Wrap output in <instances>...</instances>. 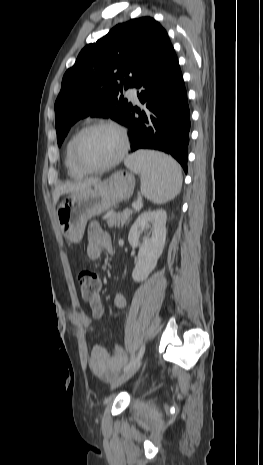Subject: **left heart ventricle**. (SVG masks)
I'll return each instance as SVG.
<instances>
[{
  "label": "left heart ventricle",
  "instance_id": "b2bd125f",
  "mask_svg": "<svg viewBox=\"0 0 263 465\" xmlns=\"http://www.w3.org/2000/svg\"><path fill=\"white\" fill-rule=\"evenodd\" d=\"M120 147V138L114 130L96 128L88 131L82 137L79 154L87 165L98 166L114 159Z\"/></svg>",
  "mask_w": 263,
  "mask_h": 465
}]
</instances>
